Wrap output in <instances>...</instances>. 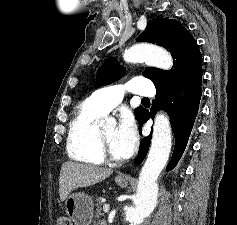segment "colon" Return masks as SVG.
<instances>
[{
	"mask_svg": "<svg viewBox=\"0 0 237 225\" xmlns=\"http://www.w3.org/2000/svg\"><path fill=\"white\" fill-rule=\"evenodd\" d=\"M56 225H72L71 220L66 216H60L57 219Z\"/></svg>",
	"mask_w": 237,
	"mask_h": 225,
	"instance_id": "1",
	"label": "colon"
}]
</instances>
